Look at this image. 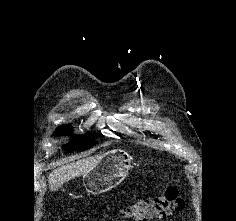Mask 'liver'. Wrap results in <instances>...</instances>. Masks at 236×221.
I'll return each mask as SVG.
<instances>
[{
    "mask_svg": "<svg viewBox=\"0 0 236 221\" xmlns=\"http://www.w3.org/2000/svg\"><path fill=\"white\" fill-rule=\"evenodd\" d=\"M105 154L83 158L54 169L48 176L49 188L56 191L64 183L90 171Z\"/></svg>",
    "mask_w": 236,
    "mask_h": 221,
    "instance_id": "6515ba94",
    "label": "liver"
}]
</instances>
